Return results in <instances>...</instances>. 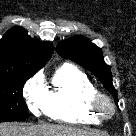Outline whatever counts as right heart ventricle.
<instances>
[{
    "label": "right heart ventricle",
    "instance_id": "e07e8e85",
    "mask_svg": "<svg viewBox=\"0 0 136 136\" xmlns=\"http://www.w3.org/2000/svg\"><path fill=\"white\" fill-rule=\"evenodd\" d=\"M97 92L98 89L84 72L71 64H64L52 77L43 112L63 123L98 124L100 119L88 106L90 98Z\"/></svg>",
    "mask_w": 136,
    "mask_h": 136
}]
</instances>
